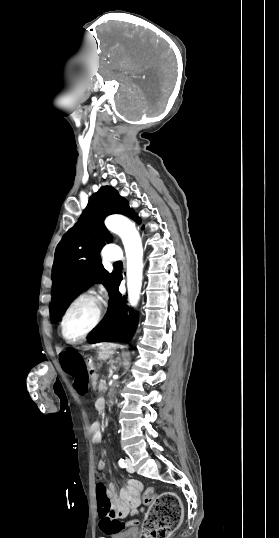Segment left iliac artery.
<instances>
[{
    "mask_svg": "<svg viewBox=\"0 0 279 538\" xmlns=\"http://www.w3.org/2000/svg\"><path fill=\"white\" fill-rule=\"evenodd\" d=\"M118 464L121 468H126L127 467V463L124 461V459H120L118 461Z\"/></svg>",
    "mask_w": 279,
    "mask_h": 538,
    "instance_id": "obj_1",
    "label": "left iliac artery"
}]
</instances>
